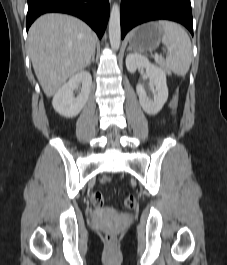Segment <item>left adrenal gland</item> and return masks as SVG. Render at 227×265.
I'll use <instances>...</instances> for the list:
<instances>
[{"instance_id":"1","label":"left adrenal gland","mask_w":227,"mask_h":265,"mask_svg":"<svg viewBox=\"0 0 227 265\" xmlns=\"http://www.w3.org/2000/svg\"><path fill=\"white\" fill-rule=\"evenodd\" d=\"M127 50H128V51H129V50H131V47H128V49H127Z\"/></svg>"}]
</instances>
